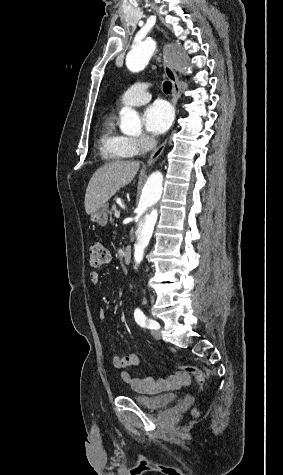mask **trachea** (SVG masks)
I'll return each mask as SVG.
<instances>
[{"mask_svg": "<svg viewBox=\"0 0 283 475\" xmlns=\"http://www.w3.org/2000/svg\"><path fill=\"white\" fill-rule=\"evenodd\" d=\"M171 89H172V83L171 82H164L163 91L165 93H170Z\"/></svg>", "mask_w": 283, "mask_h": 475, "instance_id": "trachea-1", "label": "trachea"}]
</instances>
